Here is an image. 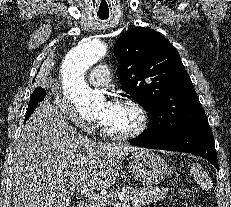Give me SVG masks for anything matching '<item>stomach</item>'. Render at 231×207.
Returning a JSON list of instances; mask_svg holds the SVG:
<instances>
[{"instance_id": "0dacf381", "label": "stomach", "mask_w": 231, "mask_h": 207, "mask_svg": "<svg viewBox=\"0 0 231 207\" xmlns=\"http://www.w3.org/2000/svg\"><path fill=\"white\" fill-rule=\"evenodd\" d=\"M130 169L139 182L152 185L163 180L169 167L165 160L154 151L141 149L132 154Z\"/></svg>"}]
</instances>
